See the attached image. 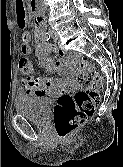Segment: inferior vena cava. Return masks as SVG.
Listing matches in <instances>:
<instances>
[{
	"label": "inferior vena cava",
	"instance_id": "obj_1",
	"mask_svg": "<svg viewBox=\"0 0 123 167\" xmlns=\"http://www.w3.org/2000/svg\"><path fill=\"white\" fill-rule=\"evenodd\" d=\"M41 1V6L44 10H47L46 4L44 2V0H40Z\"/></svg>",
	"mask_w": 123,
	"mask_h": 167
}]
</instances>
